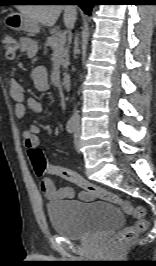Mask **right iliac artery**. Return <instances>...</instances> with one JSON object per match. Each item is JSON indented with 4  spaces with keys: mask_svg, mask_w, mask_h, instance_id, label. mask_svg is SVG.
Wrapping results in <instances>:
<instances>
[{
    "mask_svg": "<svg viewBox=\"0 0 156 266\" xmlns=\"http://www.w3.org/2000/svg\"><path fill=\"white\" fill-rule=\"evenodd\" d=\"M66 129L69 133H73L76 129V119L75 117H71L66 125Z\"/></svg>",
    "mask_w": 156,
    "mask_h": 266,
    "instance_id": "right-iliac-artery-1",
    "label": "right iliac artery"
}]
</instances>
